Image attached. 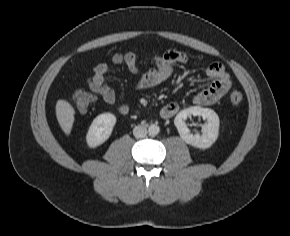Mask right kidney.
<instances>
[{"mask_svg": "<svg viewBox=\"0 0 290 236\" xmlns=\"http://www.w3.org/2000/svg\"><path fill=\"white\" fill-rule=\"evenodd\" d=\"M116 124V117L112 113L98 115L92 122L86 135L89 147L95 148L103 144L111 135Z\"/></svg>", "mask_w": 290, "mask_h": 236, "instance_id": "ca27d5eb", "label": "right kidney"}]
</instances>
